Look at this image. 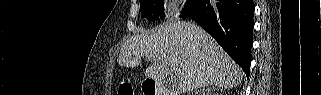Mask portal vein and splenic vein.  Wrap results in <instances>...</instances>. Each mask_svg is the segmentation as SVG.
<instances>
[{"label": "portal vein and splenic vein", "mask_w": 321, "mask_h": 95, "mask_svg": "<svg viewBox=\"0 0 321 95\" xmlns=\"http://www.w3.org/2000/svg\"><path fill=\"white\" fill-rule=\"evenodd\" d=\"M170 74H171V80H172V83H176V74L174 73V71L172 69H170Z\"/></svg>", "instance_id": "obj_1"}]
</instances>
